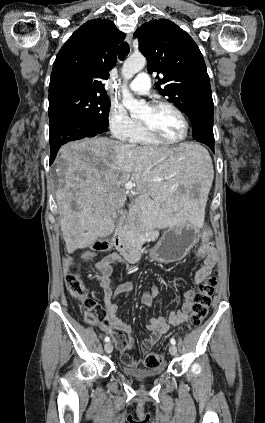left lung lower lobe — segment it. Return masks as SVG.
<instances>
[{
    "instance_id": "0a47b994",
    "label": "left lung lower lobe",
    "mask_w": 265,
    "mask_h": 423,
    "mask_svg": "<svg viewBox=\"0 0 265 423\" xmlns=\"http://www.w3.org/2000/svg\"><path fill=\"white\" fill-rule=\"evenodd\" d=\"M191 123L193 138L206 144L214 152L212 98H205L198 104Z\"/></svg>"
}]
</instances>
